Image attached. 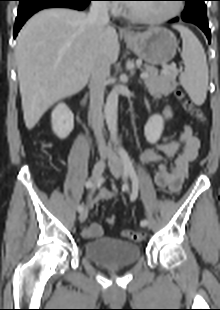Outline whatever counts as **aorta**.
<instances>
[{"instance_id":"762f6f07","label":"aorta","mask_w":220,"mask_h":310,"mask_svg":"<svg viewBox=\"0 0 220 310\" xmlns=\"http://www.w3.org/2000/svg\"><path fill=\"white\" fill-rule=\"evenodd\" d=\"M119 92L117 88L112 89L109 93L105 105V118L111 137L116 145L117 141V111H118Z\"/></svg>"}]
</instances>
